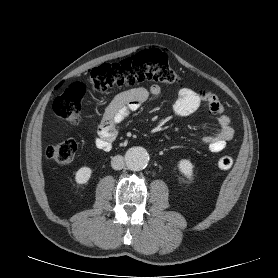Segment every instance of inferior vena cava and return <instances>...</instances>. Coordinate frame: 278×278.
<instances>
[{"label":"inferior vena cava","mask_w":278,"mask_h":278,"mask_svg":"<svg viewBox=\"0 0 278 278\" xmlns=\"http://www.w3.org/2000/svg\"><path fill=\"white\" fill-rule=\"evenodd\" d=\"M124 165V158L121 155H116L111 160V166L115 170L123 169Z\"/></svg>","instance_id":"obj_1"}]
</instances>
